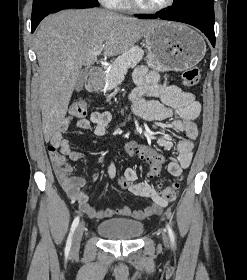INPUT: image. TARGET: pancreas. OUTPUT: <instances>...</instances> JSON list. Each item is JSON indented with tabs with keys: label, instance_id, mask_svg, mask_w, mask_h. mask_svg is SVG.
<instances>
[{
	"label": "pancreas",
	"instance_id": "1",
	"mask_svg": "<svg viewBox=\"0 0 247 280\" xmlns=\"http://www.w3.org/2000/svg\"><path fill=\"white\" fill-rule=\"evenodd\" d=\"M144 52L135 46L119 56L109 69L105 71L106 90L115 89L122 81L124 74L130 67H135L143 58Z\"/></svg>",
	"mask_w": 247,
	"mask_h": 280
}]
</instances>
